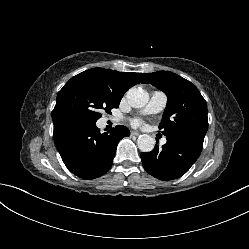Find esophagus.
Instances as JSON below:
<instances>
[{
    "instance_id": "1",
    "label": "esophagus",
    "mask_w": 249,
    "mask_h": 249,
    "mask_svg": "<svg viewBox=\"0 0 249 249\" xmlns=\"http://www.w3.org/2000/svg\"><path fill=\"white\" fill-rule=\"evenodd\" d=\"M131 135H133V136H138V135H140V132H139V131H136V130H132V131H131Z\"/></svg>"
}]
</instances>
